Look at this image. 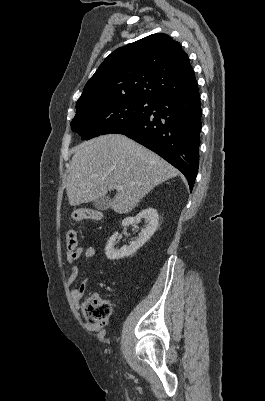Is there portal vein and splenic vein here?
Returning a JSON list of instances; mask_svg holds the SVG:
<instances>
[{"mask_svg": "<svg viewBox=\"0 0 265 401\" xmlns=\"http://www.w3.org/2000/svg\"><path fill=\"white\" fill-rule=\"evenodd\" d=\"M116 190H123L122 184H115Z\"/></svg>", "mask_w": 265, "mask_h": 401, "instance_id": "18ae733b", "label": "portal vein and splenic vein"}]
</instances>
